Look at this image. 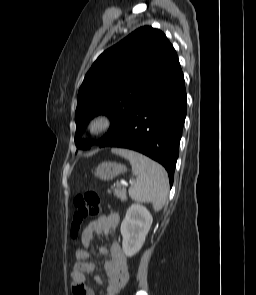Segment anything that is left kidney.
I'll return each instance as SVG.
<instances>
[{
    "mask_svg": "<svg viewBox=\"0 0 256 295\" xmlns=\"http://www.w3.org/2000/svg\"><path fill=\"white\" fill-rule=\"evenodd\" d=\"M152 221V215L143 205L133 204L128 208L120 228L126 256L132 257L142 248Z\"/></svg>",
    "mask_w": 256,
    "mask_h": 295,
    "instance_id": "left-kidney-1",
    "label": "left kidney"
}]
</instances>
